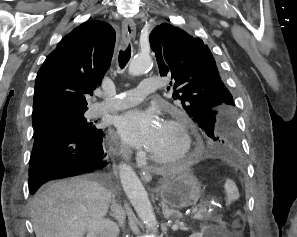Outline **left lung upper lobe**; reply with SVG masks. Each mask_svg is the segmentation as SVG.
Returning <instances> with one entry per match:
<instances>
[{
    "label": "left lung upper lobe",
    "instance_id": "obj_1",
    "mask_svg": "<svg viewBox=\"0 0 297 237\" xmlns=\"http://www.w3.org/2000/svg\"><path fill=\"white\" fill-rule=\"evenodd\" d=\"M150 46L161 76L171 80L173 99L211 138L209 141L218 143L227 155H236L240 142L233 97L208 46L166 23L152 30Z\"/></svg>",
    "mask_w": 297,
    "mask_h": 237
}]
</instances>
